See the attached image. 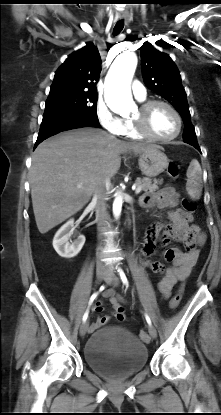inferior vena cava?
I'll return each instance as SVG.
<instances>
[{"label": "inferior vena cava", "mask_w": 221, "mask_h": 415, "mask_svg": "<svg viewBox=\"0 0 221 415\" xmlns=\"http://www.w3.org/2000/svg\"><path fill=\"white\" fill-rule=\"evenodd\" d=\"M110 183V178L105 177L102 179L98 184L94 191L93 199L96 203L95 206V214H96V221L98 226V231L100 232L98 235V239L102 240V231L104 230V226L106 224V220L108 219V213H107V185ZM98 250H102V243H100ZM97 268H104L105 265L101 261V253H97Z\"/></svg>", "instance_id": "602c4592"}]
</instances>
